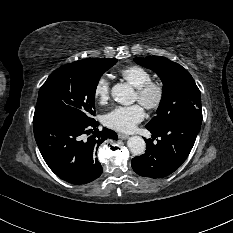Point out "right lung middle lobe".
I'll return each mask as SVG.
<instances>
[{
	"label": "right lung middle lobe",
	"mask_w": 233,
	"mask_h": 233,
	"mask_svg": "<svg viewBox=\"0 0 233 233\" xmlns=\"http://www.w3.org/2000/svg\"><path fill=\"white\" fill-rule=\"evenodd\" d=\"M117 59H95L70 63L54 71L39 90L34 116L56 115L92 121L95 91L102 74Z\"/></svg>",
	"instance_id": "dd1d6c3e"
}]
</instances>
